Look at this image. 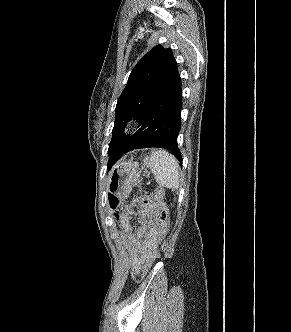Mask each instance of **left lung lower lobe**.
Here are the masks:
<instances>
[{
    "mask_svg": "<svg viewBox=\"0 0 291 332\" xmlns=\"http://www.w3.org/2000/svg\"><path fill=\"white\" fill-rule=\"evenodd\" d=\"M182 89L178 70L164 89L155 96L139 122L142 127L131 136L108 162L111 168L125 153L139 148H164L182 162L177 137L181 128Z\"/></svg>",
    "mask_w": 291,
    "mask_h": 332,
    "instance_id": "left-lung-lower-lobe-1",
    "label": "left lung lower lobe"
}]
</instances>
